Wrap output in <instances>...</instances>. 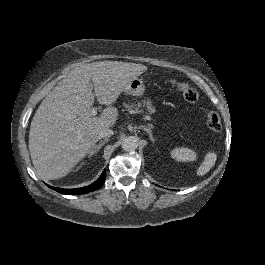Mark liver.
<instances>
[{"mask_svg":"<svg viewBox=\"0 0 265 265\" xmlns=\"http://www.w3.org/2000/svg\"><path fill=\"white\" fill-rule=\"evenodd\" d=\"M145 70L142 64L93 62L75 67L55 86L36 110L29 131L30 155L40 177L65 175L96 143L100 128L115 122L113 106H107L101 117H90L95 97L109 104Z\"/></svg>","mask_w":265,"mask_h":265,"instance_id":"liver-1","label":"liver"}]
</instances>
